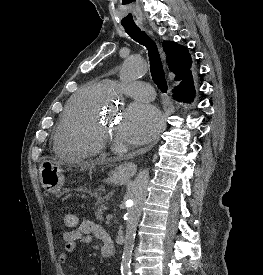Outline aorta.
Returning a JSON list of instances; mask_svg holds the SVG:
<instances>
[{
    "instance_id": "1",
    "label": "aorta",
    "mask_w": 263,
    "mask_h": 275,
    "mask_svg": "<svg viewBox=\"0 0 263 275\" xmlns=\"http://www.w3.org/2000/svg\"><path fill=\"white\" fill-rule=\"evenodd\" d=\"M146 72V65L143 60L138 57L127 58L120 70V78L123 81L135 80L143 76ZM149 183V170H140L137 174L128 200V208L126 216V234L124 238V248L120 270L122 275H130L132 252L134 249L136 229L140 220L144 203L147 196Z\"/></svg>"
}]
</instances>
